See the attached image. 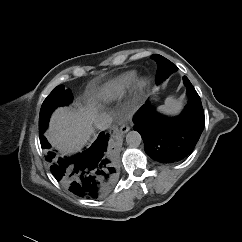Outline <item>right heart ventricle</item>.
Here are the masks:
<instances>
[{"label": "right heart ventricle", "mask_w": 242, "mask_h": 242, "mask_svg": "<svg viewBox=\"0 0 242 242\" xmlns=\"http://www.w3.org/2000/svg\"><path fill=\"white\" fill-rule=\"evenodd\" d=\"M136 79L135 71H128L106 82L101 88V97L108 102L120 99Z\"/></svg>", "instance_id": "obj_1"}]
</instances>
